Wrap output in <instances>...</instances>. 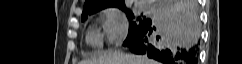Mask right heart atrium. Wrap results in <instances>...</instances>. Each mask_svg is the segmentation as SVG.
Here are the masks:
<instances>
[{
	"mask_svg": "<svg viewBox=\"0 0 242 64\" xmlns=\"http://www.w3.org/2000/svg\"><path fill=\"white\" fill-rule=\"evenodd\" d=\"M103 34L109 45L121 43L128 32V19L126 15L116 7H108L103 13Z\"/></svg>",
	"mask_w": 242,
	"mask_h": 64,
	"instance_id": "obj_1",
	"label": "right heart atrium"
}]
</instances>
